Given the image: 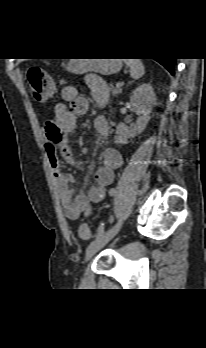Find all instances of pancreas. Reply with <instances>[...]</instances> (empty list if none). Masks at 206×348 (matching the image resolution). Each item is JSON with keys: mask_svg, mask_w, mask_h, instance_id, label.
Returning a JSON list of instances; mask_svg holds the SVG:
<instances>
[{"mask_svg": "<svg viewBox=\"0 0 206 348\" xmlns=\"http://www.w3.org/2000/svg\"><path fill=\"white\" fill-rule=\"evenodd\" d=\"M111 91L114 96H117L122 92V88L111 86Z\"/></svg>", "mask_w": 206, "mask_h": 348, "instance_id": "1", "label": "pancreas"}]
</instances>
